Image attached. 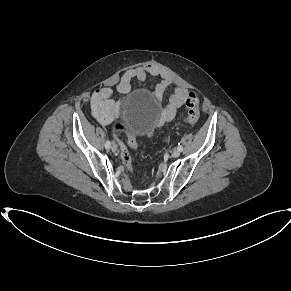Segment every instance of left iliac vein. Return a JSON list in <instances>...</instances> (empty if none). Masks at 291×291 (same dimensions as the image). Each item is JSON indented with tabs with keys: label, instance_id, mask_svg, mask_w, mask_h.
<instances>
[{
	"label": "left iliac vein",
	"instance_id": "obj_1",
	"mask_svg": "<svg viewBox=\"0 0 291 291\" xmlns=\"http://www.w3.org/2000/svg\"><path fill=\"white\" fill-rule=\"evenodd\" d=\"M179 156H180V151H179L178 149H176V150H174V151L172 152V157L177 158V157H179Z\"/></svg>",
	"mask_w": 291,
	"mask_h": 291
}]
</instances>
